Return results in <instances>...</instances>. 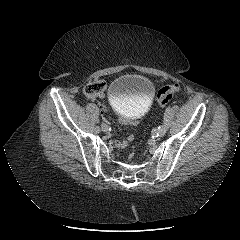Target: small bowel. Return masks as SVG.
<instances>
[{"mask_svg": "<svg viewBox=\"0 0 240 240\" xmlns=\"http://www.w3.org/2000/svg\"><path fill=\"white\" fill-rule=\"evenodd\" d=\"M105 93H100L98 95V98L100 100H103L105 98ZM99 107L101 108L102 110V116L104 118H109L111 116V113L109 112L108 110V107L106 106V104L104 102H101L99 104ZM135 141V136L133 134H128L125 138L119 140V141H116L115 142V145L118 149H123L127 146L128 143H133Z\"/></svg>", "mask_w": 240, "mask_h": 240, "instance_id": "small-bowel-1", "label": "small bowel"}]
</instances>
